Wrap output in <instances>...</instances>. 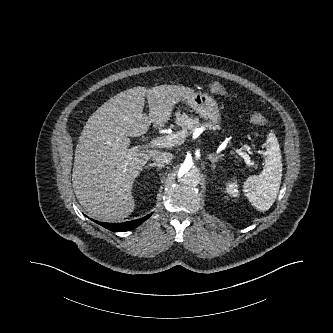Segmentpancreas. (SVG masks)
<instances>
[{"label":"pancreas","instance_id":"pancreas-1","mask_svg":"<svg viewBox=\"0 0 333 333\" xmlns=\"http://www.w3.org/2000/svg\"><path fill=\"white\" fill-rule=\"evenodd\" d=\"M176 124L181 126L185 136L199 127H206L207 124H201L197 118L189 117L187 114H176Z\"/></svg>","mask_w":333,"mask_h":333}]
</instances>
